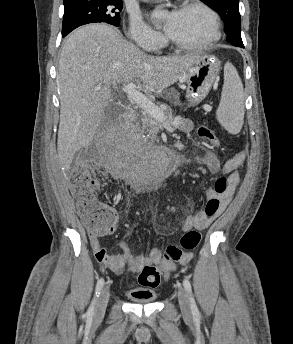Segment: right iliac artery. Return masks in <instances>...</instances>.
Segmentation results:
<instances>
[{"label": "right iliac artery", "instance_id": "82829eb1", "mask_svg": "<svg viewBox=\"0 0 293 344\" xmlns=\"http://www.w3.org/2000/svg\"><path fill=\"white\" fill-rule=\"evenodd\" d=\"M103 286H104V279L101 278L97 282L96 290H95V297H94V299H93V301H92V303H91V305L87 311L88 316H92L94 314L96 301H97V298L99 297V294H100Z\"/></svg>", "mask_w": 293, "mask_h": 344}]
</instances>
